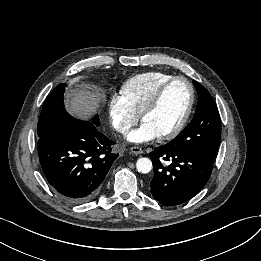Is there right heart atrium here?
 <instances>
[{"mask_svg":"<svg viewBox=\"0 0 261 261\" xmlns=\"http://www.w3.org/2000/svg\"><path fill=\"white\" fill-rule=\"evenodd\" d=\"M108 112L112 128L123 135L127 134L140 118L121 93L111 97Z\"/></svg>","mask_w":261,"mask_h":261,"instance_id":"right-heart-atrium-1","label":"right heart atrium"}]
</instances>
